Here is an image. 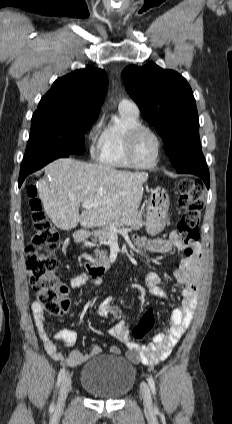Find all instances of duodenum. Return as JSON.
I'll use <instances>...</instances> for the list:
<instances>
[{"label": "duodenum", "instance_id": "obj_1", "mask_svg": "<svg viewBox=\"0 0 232 424\" xmlns=\"http://www.w3.org/2000/svg\"><path fill=\"white\" fill-rule=\"evenodd\" d=\"M89 233L85 231H77L75 234V240L78 243H81L89 238ZM111 261L104 262H87L85 264L86 270L89 274L93 276H100L105 274L111 267Z\"/></svg>", "mask_w": 232, "mask_h": 424}]
</instances>
